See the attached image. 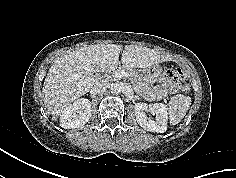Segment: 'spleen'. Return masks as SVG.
Instances as JSON below:
<instances>
[{
  "label": "spleen",
  "instance_id": "1",
  "mask_svg": "<svg viewBox=\"0 0 236 178\" xmlns=\"http://www.w3.org/2000/svg\"><path fill=\"white\" fill-rule=\"evenodd\" d=\"M191 105V98L185 95H175L168 103L170 124L176 125L185 117Z\"/></svg>",
  "mask_w": 236,
  "mask_h": 178
}]
</instances>
